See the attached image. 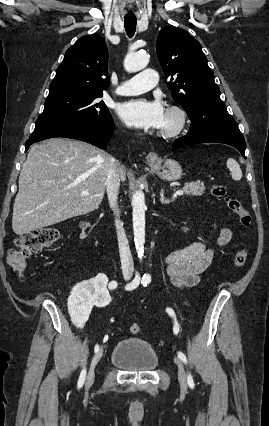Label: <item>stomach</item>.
<instances>
[{
    "mask_svg": "<svg viewBox=\"0 0 269 426\" xmlns=\"http://www.w3.org/2000/svg\"><path fill=\"white\" fill-rule=\"evenodd\" d=\"M153 171L163 180L175 181L182 176V167L174 159H164L157 164H150Z\"/></svg>",
    "mask_w": 269,
    "mask_h": 426,
    "instance_id": "stomach-1",
    "label": "stomach"
}]
</instances>
